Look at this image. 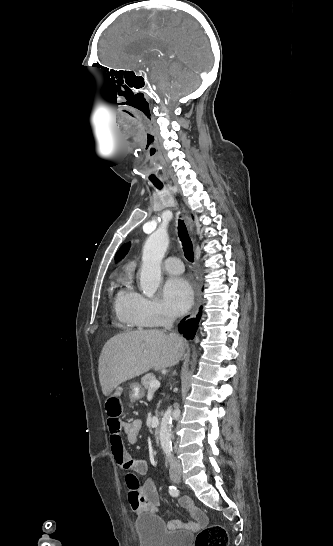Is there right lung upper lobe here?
Segmentation results:
<instances>
[{"label": "right lung upper lobe", "instance_id": "1", "mask_svg": "<svg viewBox=\"0 0 333 546\" xmlns=\"http://www.w3.org/2000/svg\"><path fill=\"white\" fill-rule=\"evenodd\" d=\"M130 248V243H126L124 245H122V247L120 248V250L117 252L116 256H115V259L118 261V260H121L128 252Z\"/></svg>", "mask_w": 333, "mask_h": 546}]
</instances>
